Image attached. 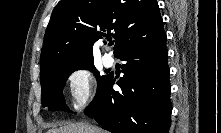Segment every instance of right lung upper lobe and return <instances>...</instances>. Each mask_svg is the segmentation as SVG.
I'll list each match as a JSON object with an SVG mask.
<instances>
[{
    "instance_id": "1",
    "label": "right lung upper lobe",
    "mask_w": 221,
    "mask_h": 133,
    "mask_svg": "<svg viewBox=\"0 0 221 133\" xmlns=\"http://www.w3.org/2000/svg\"><path fill=\"white\" fill-rule=\"evenodd\" d=\"M110 32L117 57L137 43L165 35L156 0H61L54 8L41 51V72L66 62H92L93 44Z\"/></svg>"
}]
</instances>
